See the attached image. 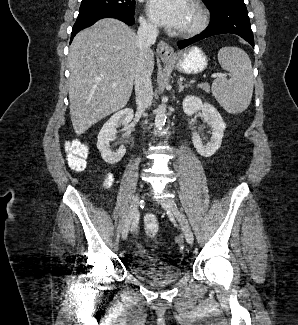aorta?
Returning <instances> with one entry per match:
<instances>
[{
	"label": "aorta",
	"instance_id": "obj_1",
	"mask_svg": "<svg viewBox=\"0 0 298 325\" xmlns=\"http://www.w3.org/2000/svg\"><path fill=\"white\" fill-rule=\"evenodd\" d=\"M167 102H168V96H162L161 104H158V108H156V114H155L156 128H162V126H164V122L167 118Z\"/></svg>",
	"mask_w": 298,
	"mask_h": 325
}]
</instances>
